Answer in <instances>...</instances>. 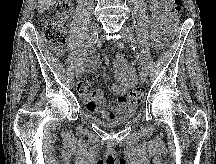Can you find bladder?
Instances as JSON below:
<instances>
[{
  "label": "bladder",
  "mask_w": 216,
  "mask_h": 164,
  "mask_svg": "<svg viewBox=\"0 0 216 164\" xmlns=\"http://www.w3.org/2000/svg\"><path fill=\"white\" fill-rule=\"evenodd\" d=\"M134 113H135V110L130 109L126 111L124 114H122L120 117L115 118L113 120L103 121L99 119H94V122L96 124H99L105 127H117V126H120V125H123L129 122L134 117Z\"/></svg>",
  "instance_id": "1"
}]
</instances>
